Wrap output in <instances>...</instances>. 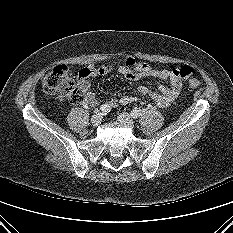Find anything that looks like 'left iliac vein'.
Returning <instances> with one entry per match:
<instances>
[{"label":"left iliac vein","instance_id":"obj_1","mask_svg":"<svg viewBox=\"0 0 233 233\" xmlns=\"http://www.w3.org/2000/svg\"><path fill=\"white\" fill-rule=\"evenodd\" d=\"M117 120L124 126L134 129V120L128 113H120L117 117Z\"/></svg>","mask_w":233,"mask_h":233}]
</instances>
